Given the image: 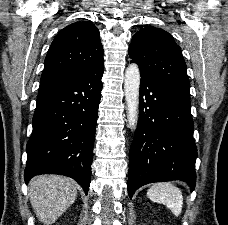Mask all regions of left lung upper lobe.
Wrapping results in <instances>:
<instances>
[{
    "mask_svg": "<svg viewBox=\"0 0 228 225\" xmlns=\"http://www.w3.org/2000/svg\"><path fill=\"white\" fill-rule=\"evenodd\" d=\"M131 62L138 64L141 76L168 86L189 90L186 64L181 48L163 29L145 26L132 37Z\"/></svg>",
    "mask_w": 228,
    "mask_h": 225,
    "instance_id": "1",
    "label": "left lung upper lobe"
}]
</instances>
